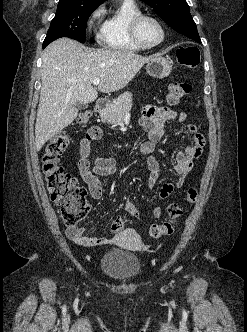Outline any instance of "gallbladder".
<instances>
[{"mask_svg": "<svg viewBox=\"0 0 247 332\" xmlns=\"http://www.w3.org/2000/svg\"><path fill=\"white\" fill-rule=\"evenodd\" d=\"M87 107H88V105H87V104H84V103H77V104H76V108H77L78 110L85 109V108H87Z\"/></svg>", "mask_w": 247, "mask_h": 332, "instance_id": "1", "label": "gallbladder"}]
</instances>
